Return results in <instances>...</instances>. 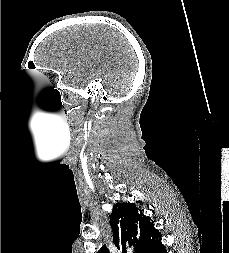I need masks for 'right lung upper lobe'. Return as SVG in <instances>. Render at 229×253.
Listing matches in <instances>:
<instances>
[{
  "label": "right lung upper lobe",
  "instance_id": "obj_1",
  "mask_svg": "<svg viewBox=\"0 0 229 253\" xmlns=\"http://www.w3.org/2000/svg\"><path fill=\"white\" fill-rule=\"evenodd\" d=\"M115 246L127 253H148L160 240L161 233L154 228L153 221L144 216L143 211L134 203H117L110 217ZM97 253H109L103 246Z\"/></svg>",
  "mask_w": 229,
  "mask_h": 253
}]
</instances>
